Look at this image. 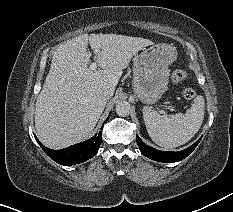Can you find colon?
I'll return each instance as SVG.
<instances>
[{"label": "colon", "instance_id": "1", "mask_svg": "<svg viewBox=\"0 0 233 212\" xmlns=\"http://www.w3.org/2000/svg\"><path fill=\"white\" fill-rule=\"evenodd\" d=\"M186 77L187 74L185 71L176 70L175 72H173L171 79L173 83L177 84L185 80ZM182 96L187 100H192L196 97V92L192 88H185L182 91Z\"/></svg>", "mask_w": 233, "mask_h": 212}]
</instances>
